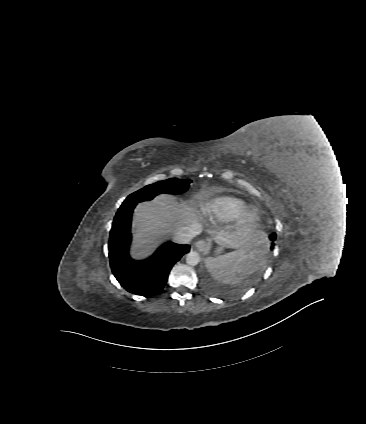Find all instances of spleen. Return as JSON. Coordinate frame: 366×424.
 Returning <instances> with one entry per match:
<instances>
[{
    "label": "spleen",
    "instance_id": "3e777b00",
    "mask_svg": "<svg viewBox=\"0 0 366 424\" xmlns=\"http://www.w3.org/2000/svg\"><path fill=\"white\" fill-rule=\"evenodd\" d=\"M262 258L263 252L257 243L215 258L210 257L206 261V266L215 279L236 284L253 273L256 263Z\"/></svg>",
    "mask_w": 366,
    "mask_h": 424
}]
</instances>
